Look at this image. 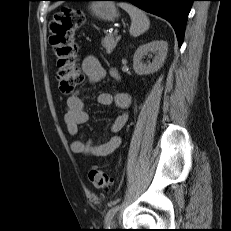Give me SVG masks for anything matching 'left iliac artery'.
<instances>
[{
  "label": "left iliac artery",
  "instance_id": "obj_1",
  "mask_svg": "<svg viewBox=\"0 0 231 231\" xmlns=\"http://www.w3.org/2000/svg\"><path fill=\"white\" fill-rule=\"evenodd\" d=\"M119 208H120V205H116V206L112 207V208L108 211V213H107V215H106V217H105V224H106L107 226L109 225V222H110L111 219L113 218L114 214L119 210Z\"/></svg>",
  "mask_w": 231,
  "mask_h": 231
}]
</instances>
